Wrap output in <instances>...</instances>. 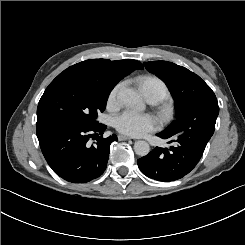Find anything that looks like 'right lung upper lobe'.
Returning a JSON list of instances; mask_svg holds the SVG:
<instances>
[{
    "label": "right lung upper lobe",
    "instance_id": "obj_1",
    "mask_svg": "<svg viewBox=\"0 0 245 245\" xmlns=\"http://www.w3.org/2000/svg\"><path fill=\"white\" fill-rule=\"evenodd\" d=\"M142 68L143 66L139 61L132 59L117 61H110L108 59H92L77 63L67 68L66 71L83 73L115 86L121 79L132 71Z\"/></svg>",
    "mask_w": 245,
    "mask_h": 245
}]
</instances>
